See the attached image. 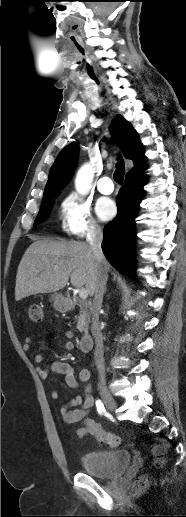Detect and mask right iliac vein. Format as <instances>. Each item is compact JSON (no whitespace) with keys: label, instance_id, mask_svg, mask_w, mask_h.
I'll list each match as a JSON object with an SVG mask.
<instances>
[{"label":"right iliac vein","instance_id":"obj_1","mask_svg":"<svg viewBox=\"0 0 186 517\" xmlns=\"http://www.w3.org/2000/svg\"><path fill=\"white\" fill-rule=\"evenodd\" d=\"M100 395L105 407L109 411H114L117 407V403L106 387H100Z\"/></svg>","mask_w":186,"mask_h":517}]
</instances>
